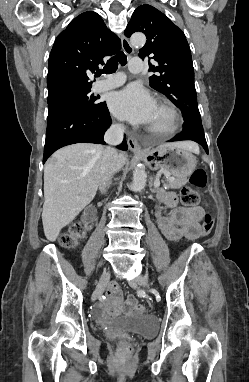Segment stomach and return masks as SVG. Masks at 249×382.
Returning a JSON list of instances; mask_svg holds the SVG:
<instances>
[{"label": "stomach", "instance_id": "obj_1", "mask_svg": "<svg viewBox=\"0 0 249 382\" xmlns=\"http://www.w3.org/2000/svg\"><path fill=\"white\" fill-rule=\"evenodd\" d=\"M143 161L153 170L161 169L175 177H188L196 168L197 160L191 151L171 144H163L147 150Z\"/></svg>", "mask_w": 249, "mask_h": 382}]
</instances>
